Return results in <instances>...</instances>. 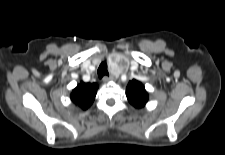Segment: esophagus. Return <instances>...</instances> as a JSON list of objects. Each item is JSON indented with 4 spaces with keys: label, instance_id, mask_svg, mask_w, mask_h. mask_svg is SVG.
Returning <instances> with one entry per match:
<instances>
[{
    "label": "esophagus",
    "instance_id": "1",
    "mask_svg": "<svg viewBox=\"0 0 225 155\" xmlns=\"http://www.w3.org/2000/svg\"><path fill=\"white\" fill-rule=\"evenodd\" d=\"M113 79V76H104L103 77V79H102V81L104 82V83H106V82H108V81H110V80H112Z\"/></svg>",
    "mask_w": 225,
    "mask_h": 155
}]
</instances>
